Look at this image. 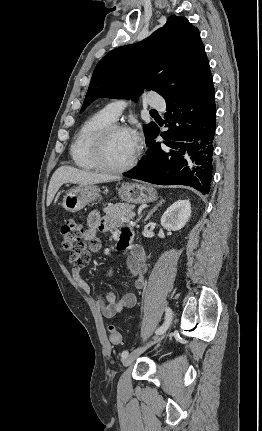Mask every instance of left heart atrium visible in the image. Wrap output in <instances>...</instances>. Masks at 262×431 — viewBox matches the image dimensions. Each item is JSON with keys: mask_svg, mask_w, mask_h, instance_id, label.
<instances>
[{"mask_svg": "<svg viewBox=\"0 0 262 431\" xmlns=\"http://www.w3.org/2000/svg\"><path fill=\"white\" fill-rule=\"evenodd\" d=\"M129 134H130V139L133 146L137 149L141 142V137L139 132L137 130H131L129 131Z\"/></svg>", "mask_w": 262, "mask_h": 431, "instance_id": "obj_1", "label": "left heart atrium"}]
</instances>
